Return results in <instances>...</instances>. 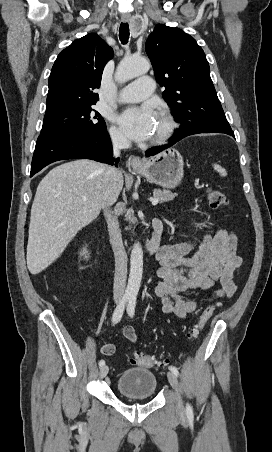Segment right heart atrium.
I'll list each match as a JSON object with an SVG mask.
<instances>
[{
	"mask_svg": "<svg viewBox=\"0 0 272 452\" xmlns=\"http://www.w3.org/2000/svg\"><path fill=\"white\" fill-rule=\"evenodd\" d=\"M112 142L118 146H124L127 144V138L125 134L119 128L112 126L109 130Z\"/></svg>",
	"mask_w": 272,
	"mask_h": 452,
	"instance_id": "right-heart-atrium-1",
	"label": "right heart atrium"
}]
</instances>
